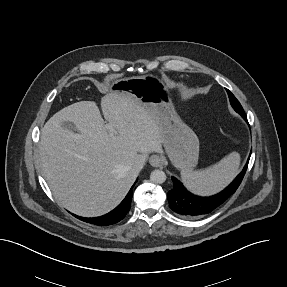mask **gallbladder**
<instances>
[{
	"label": "gallbladder",
	"instance_id": "gallbladder-1",
	"mask_svg": "<svg viewBox=\"0 0 287 287\" xmlns=\"http://www.w3.org/2000/svg\"><path fill=\"white\" fill-rule=\"evenodd\" d=\"M63 126L69 130L75 131V126L70 122H64Z\"/></svg>",
	"mask_w": 287,
	"mask_h": 287
}]
</instances>
